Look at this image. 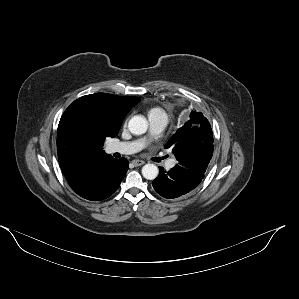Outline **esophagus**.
I'll list each match as a JSON object with an SVG mask.
<instances>
[{
  "label": "esophagus",
  "mask_w": 299,
  "mask_h": 299,
  "mask_svg": "<svg viewBox=\"0 0 299 299\" xmlns=\"http://www.w3.org/2000/svg\"><path fill=\"white\" fill-rule=\"evenodd\" d=\"M132 163L135 165V166H141L143 165L145 162L143 160H139V159H134L132 161Z\"/></svg>",
  "instance_id": "obj_1"
}]
</instances>
